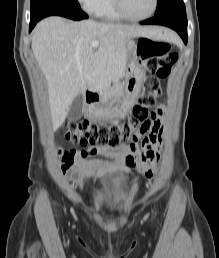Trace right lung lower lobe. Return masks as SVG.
Here are the masks:
<instances>
[{
    "label": "right lung lower lobe",
    "instance_id": "1",
    "mask_svg": "<svg viewBox=\"0 0 219 258\" xmlns=\"http://www.w3.org/2000/svg\"><path fill=\"white\" fill-rule=\"evenodd\" d=\"M52 15L63 16L72 20H82L88 18V15L85 14L78 6L59 4L47 8L41 11L37 16L31 18L29 31L34 28L38 21Z\"/></svg>",
    "mask_w": 219,
    "mask_h": 258
}]
</instances>
